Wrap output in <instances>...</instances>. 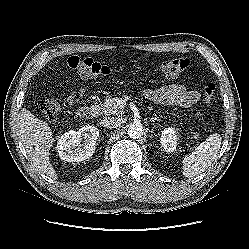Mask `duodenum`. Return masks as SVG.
<instances>
[{
	"label": "duodenum",
	"instance_id": "410a0bca",
	"mask_svg": "<svg viewBox=\"0 0 249 249\" xmlns=\"http://www.w3.org/2000/svg\"><path fill=\"white\" fill-rule=\"evenodd\" d=\"M98 110L95 106H84L78 109V116L82 119H91L96 117Z\"/></svg>",
	"mask_w": 249,
	"mask_h": 249
}]
</instances>
